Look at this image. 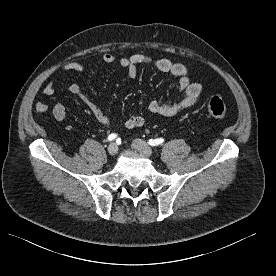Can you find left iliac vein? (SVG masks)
Wrapping results in <instances>:
<instances>
[{
	"instance_id": "4c4485c4",
	"label": "left iliac vein",
	"mask_w": 276,
	"mask_h": 276,
	"mask_svg": "<svg viewBox=\"0 0 276 276\" xmlns=\"http://www.w3.org/2000/svg\"><path fill=\"white\" fill-rule=\"evenodd\" d=\"M132 146L142 155L151 157L153 155L152 148L143 140L135 139L132 142Z\"/></svg>"
}]
</instances>
